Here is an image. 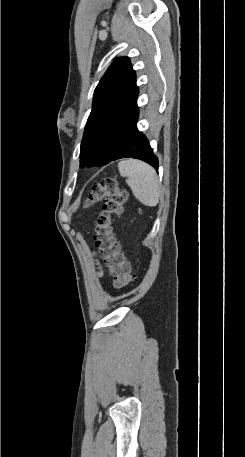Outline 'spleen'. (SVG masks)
<instances>
[{
  "mask_svg": "<svg viewBox=\"0 0 245 457\" xmlns=\"http://www.w3.org/2000/svg\"><path fill=\"white\" fill-rule=\"evenodd\" d=\"M118 170L121 176H127L126 182L140 202L147 206L158 204L160 186L153 166L137 158H122L118 162Z\"/></svg>",
  "mask_w": 245,
  "mask_h": 457,
  "instance_id": "1",
  "label": "spleen"
}]
</instances>
